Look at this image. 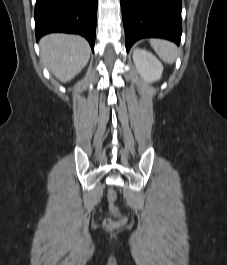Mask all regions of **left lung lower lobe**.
Here are the masks:
<instances>
[{
    "label": "left lung lower lobe",
    "instance_id": "obj_1",
    "mask_svg": "<svg viewBox=\"0 0 227 265\" xmlns=\"http://www.w3.org/2000/svg\"><path fill=\"white\" fill-rule=\"evenodd\" d=\"M126 50L146 37L165 38L180 43L181 0H120Z\"/></svg>",
    "mask_w": 227,
    "mask_h": 265
}]
</instances>
